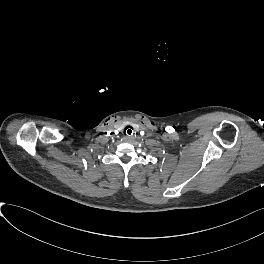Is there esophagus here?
<instances>
[{
    "label": "esophagus",
    "mask_w": 264,
    "mask_h": 264,
    "mask_svg": "<svg viewBox=\"0 0 264 264\" xmlns=\"http://www.w3.org/2000/svg\"><path fill=\"white\" fill-rule=\"evenodd\" d=\"M129 140H130V138H129V137H125V141H127V142H128Z\"/></svg>",
    "instance_id": "34e87169"
}]
</instances>
